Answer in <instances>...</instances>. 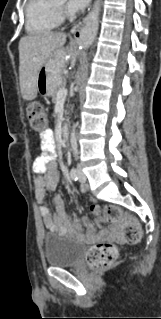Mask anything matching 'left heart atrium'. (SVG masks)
<instances>
[{
    "label": "left heart atrium",
    "instance_id": "1",
    "mask_svg": "<svg viewBox=\"0 0 161 319\" xmlns=\"http://www.w3.org/2000/svg\"><path fill=\"white\" fill-rule=\"evenodd\" d=\"M89 0H68L67 8L70 11H78L87 6Z\"/></svg>",
    "mask_w": 161,
    "mask_h": 319
}]
</instances>
